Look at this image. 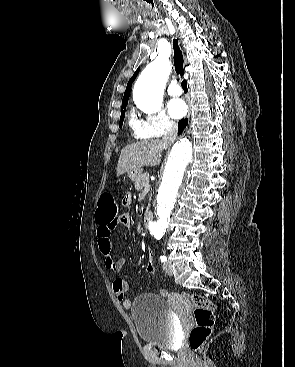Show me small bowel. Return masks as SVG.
<instances>
[{
	"mask_svg": "<svg viewBox=\"0 0 295 367\" xmlns=\"http://www.w3.org/2000/svg\"><path fill=\"white\" fill-rule=\"evenodd\" d=\"M131 202V196L126 195L123 199V205L128 206ZM97 244L98 248L104 258L105 266L115 275H118L126 265V259H115L112 252L111 235L113 230L122 225L126 228L131 226V219L125 212H120L119 217L109 222L103 223L97 220ZM113 292L117 299L122 303L123 307L129 309L132 305L131 300L125 297L126 292L130 288V284L127 280L121 277H116L112 283Z\"/></svg>",
	"mask_w": 295,
	"mask_h": 367,
	"instance_id": "obj_1",
	"label": "small bowel"
}]
</instances>
